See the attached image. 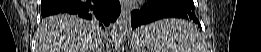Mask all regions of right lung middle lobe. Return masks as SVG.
I'll use <instances>...</instances> for the list:
<instances>
[{
    "label": "right lung middle lobe",
    "instance_id": "dd1d6c3e",
    "mask_svg": "<svg viewBox=\"0 0 261 52\" xmlns=\"http://www.w3.org/2000/svg\"><path fill=\"white\" fill-rule=\"evenodd\" d=\"M85 19H87V20H92V19H90V18H85ZM91 22L95 23L97 27H101L97 21L92 20Z\"/></svg>",
    "mask_w": 261,
    "mask_h": 52
}]
</instances>
